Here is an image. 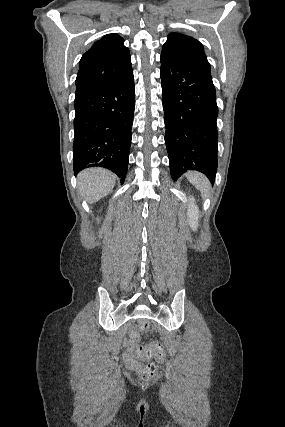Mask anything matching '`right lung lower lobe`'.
<instances>
[{
    "label": "right lung lower lobe",
    "instance_id": "right-lung-lower-lobe-1",
    "mask_svg": "<svg viewBox=\"0 0 285 427\" xmlns=\"http://www.w3.org/2000/svg\"><path fill=\"white\" fill-rule=\"evenodd\" d=\"M74 173L104 167L124 182L135 108L133 71L126 77L75 93Z\"/></svg>",
    "mask_w": 285,
    "mask_h": 427
}]
</instances>
